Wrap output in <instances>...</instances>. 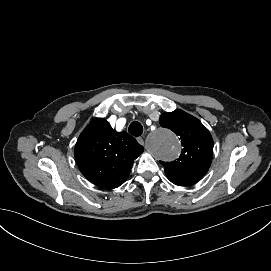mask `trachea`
I'll return each instance as SVG.
<instances>
[{
	"label": "trachea",
	"mask_w": 271,
	"mask_h": 271,
	"mask_svg": "<svg viewBox=\"0 0 271 271\" xmlns=\"http://www.w3.org/2000/svg\"><path fill=\"white\" fill-rule=\"evenodd\" d=\"M128 131L133 136H140L143 133V126L141 123L134 121L130 124Z\"/></svg>",
	"instance_id": "3493384b"
}]
</instances>
